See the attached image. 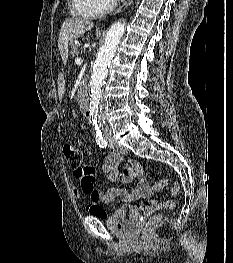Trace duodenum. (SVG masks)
<instances>
[{
    "mask_svg": "<svg viewBox=\"0 0 233 263\" xmlns=\"http://www.w3.org/2000/svg\"><path fill=\"white\" fill-rule=\"evenodd\" d=\"M80 77H81V79H80L81 83H89L90 82V76L87 75L86 73H81Z\"/></svg>",
    "mask_w": 233,
    "mask_h": 263,
    "instance_id": "duodenum-1",
    "label": "duodenum"
}]
</instances>
